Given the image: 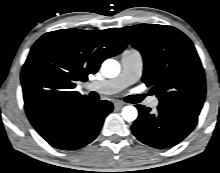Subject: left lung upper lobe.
Returning a JSON list of instances; mask_svg holds the SVG:
<instances>
[{
  "instance_id": "left-lung-upper-lobe-1",
  "label": "left lung upper lobe",
  "mask_w": 220,
  "mask_h": 173,
  "mask_svg": "<svg viewBox=\"0 0 220 173\" xmlns=\"http://www.w3.org/2000/svg\"><path fill=\"white\" fill-rule=\"evenodd\" d=\"M144 60L142 81L157 93L159 105L199 115L205 99V76L190 39L166 25L118 28Z\"/></svg>"
}]
</instances>
